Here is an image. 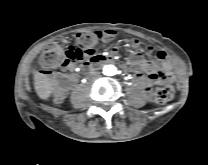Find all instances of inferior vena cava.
Here are the masks:
<instances>
[{"mask_svg":"<svg viewBox=\"0 0 208 165\" xmlns=\"http://www.w3.org/2000/svg\"><path fill=\"white\" fill-rule=\"evenodd\" d=\"M94 76H96V77H98L99 76V73H95V74H93Z\"/></svg>","mask_w":208,"mask_h":165,"instance_id":"inferior-vena-cava-1","label":"inferior vena cava"}]
</instances>
